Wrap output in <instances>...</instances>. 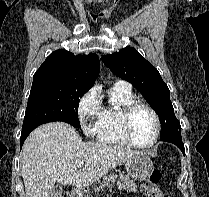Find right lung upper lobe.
Masks as SVG:
<instances>
[{"mask_svg":"<svg viewBox=\"0 0 209 197\" xmlns=\"http://www.w3.org/2000/svg\"><path fill=\"white\" fill-rule=\"evenodd\" d=\"M97 55H74L66 50L51 53L33 76V82L74 83L91 88L99 75Z\"/></svg>","mask_w":209,"mask_h":197,"instance_id":"1","label":"right lung upper lobe"}]
</instances>
